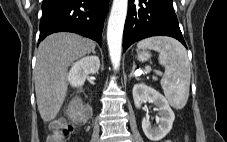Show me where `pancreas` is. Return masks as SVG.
Masks as SVG:
<instances>
[{
	"mask_svg": "<svg viewBox=\"0 0 227 142\" xmlns=\"http://www.w3.org/2000/svg\"><path fill=\"white\" fill-rule=\"evenodd\" d=\"M154 80H156L157 78L156 77H153Z\"/></svg>",
	"mask_w": 227,
	"mask_h": 142,
	"instance_id": "pancreas-1",
	"label": "pancreas"
}]
</instances>
